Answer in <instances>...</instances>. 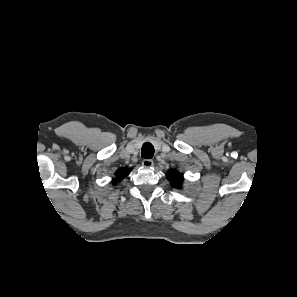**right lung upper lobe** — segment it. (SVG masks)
Wrapping results in <instances>:
<instances>
[{
    "label": "right lung upper lobe",
    "instance_id": "obj_1",
    "mask_svg": "<svg viewBox=\"0 0 297 297\" xmlns=\"http://www.w3.org/2000/svg\"><path fill=\"white\" fill-rule=\"evenodd\" d=\"M130 173V170L127 168H121L116 172V178L113 179V185H116L117 182H120L123 178H125Z\"/></svg>",
    "mask_w": 297,
    "mask_h": 297
}]
</instances>
